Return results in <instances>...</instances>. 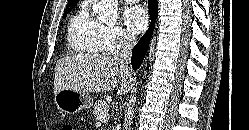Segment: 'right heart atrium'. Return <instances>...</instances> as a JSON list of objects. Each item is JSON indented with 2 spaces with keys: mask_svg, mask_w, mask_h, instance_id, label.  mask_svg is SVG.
Instances as JSON below:
<instances>
[{
  "mask_svg": "<svg viewBox=\"0 0 249 130\" xmlns=\"http://www.w3.org/2000/svg\"><path fill=\"white\" fill-rule=\"evenodd\" d=\"M102 34L106 52L111 54L125 50L133 44V37L120 25H103Z\"/></svg>",
  "mask_w": 249,
  "mask_h": 130,
  "instance_id": "obj_1",
  "label": "right heart atrium"
}]
</instances>
